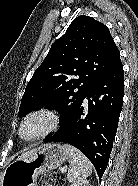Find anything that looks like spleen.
Wrapping results in <instances>:
<instances>
[{"mask_svg":"<svg viewBox=\"0 0 138 186\" xmlns=\"http://www.w3.org/2000/svg\"><path fill=\"white\" fill-rule=\"evenodd\" d=\"M63 148L70 157V167L67 173L68 181L75 182L84 180L91 175L92 164L82 152L68 144H65Z\"/></svg>","mask_w":138,"mask_h":186,"instance_id":"obj_1","label":"spleen"}]
</instances>
